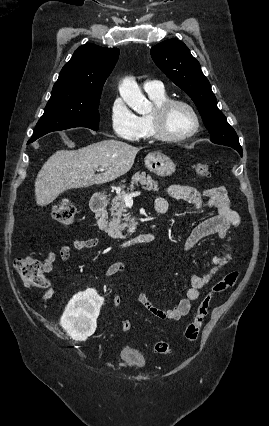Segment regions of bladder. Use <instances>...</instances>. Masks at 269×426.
Masks as SVG:
<instances>
[{
	"label": "bladder",
	"mask_w": 269,
	"mask_h": 426,
	"mask_svg": "<svg viewBox=\"0 0 269 426\" xmlns=\"http://www.w3.org/2000/svg\"><path fill=\"white\" fill-rule=\"evenodd\" d=\"M120 357L124 363L131 366H143L146 362L145 355L131 346L123 347L120 351Z\"/></svg>",
	"instance_id": "obj_1"
}]
</instances>
